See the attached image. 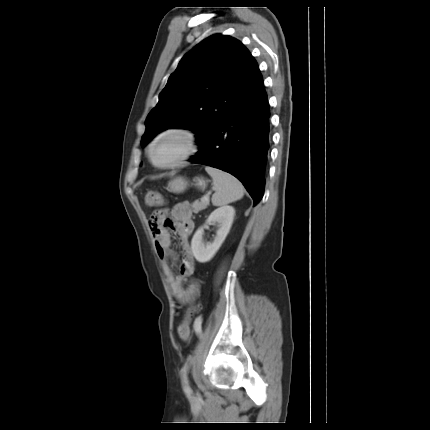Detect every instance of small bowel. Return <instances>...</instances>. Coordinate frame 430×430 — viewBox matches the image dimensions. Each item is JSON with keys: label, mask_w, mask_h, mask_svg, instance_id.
Wrapping results in <instances>:
<instances>
[{"label": "small bowel", "mask_w": 430, "mask_h": 430, "mask_svg": "<svg viewBox=\"0 0 430 430\" xmlns=\"http://www.w3.org/2000/svg\"><path fill=\"white\" fill-rule=\"evenodd\" d=\"M150 228L155 239L160 265L173 295L182 304L191 303L198 297L200 287L197 281L191 279L194 272V260L189 238L194 230V223L189 203L180 202L169 212L164 210L154 212L150 220ZM170 230L175 232L180 244L181 262L178 267V275L174 273L178 255L171 248ZM201 322L202 318L198 317L195 325H199ZM181 327L182 323L178 327V332Z\"/></svg>", "instance_id": "obj_1"}]
</instances>
